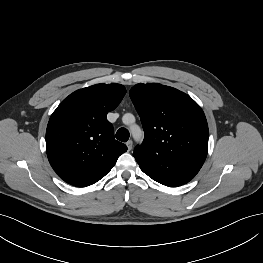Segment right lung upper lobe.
Masks as SVG:
<instances>
[{
	"label": "right lung upper lobe",
	"mask_w": 263,
	"mask_h": 263,
	"mask_svg": "<svg viewBox=\"0 0 263 263\" xmlns=\"http://www.w3.org/2000/svg\"><path fill=\"white\" fill-rule=\"evenodd\" d=\"M126 93L121 84H96L77 90L53 112L46 151L54 171L67 183L85 187L110 172L126 145L114 139L106 119Z\"/></svg>",
	"instance_id": "cb5924a9"
}]
</instances>
